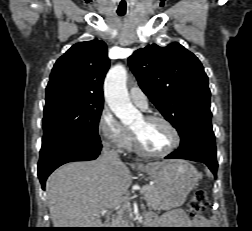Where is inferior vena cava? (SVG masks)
<instances>
[{
  "mask_svg": "<svg viewBox=\"0 0 252 231\" xmlns=\"http://www.w3.org/2000/svg\"><path fill=\"white\" fill-rule=\"evenodd\" d=\"M100 162L105 166H116L122 164L118 153L111 150L108 143H104L103 145Z\"/></svg>",
  "mask_w": 252,
  "mask_h": 231,
  "instance_id": "602c4592",
  "label": "inferior vena cava"
}]
</instances>
